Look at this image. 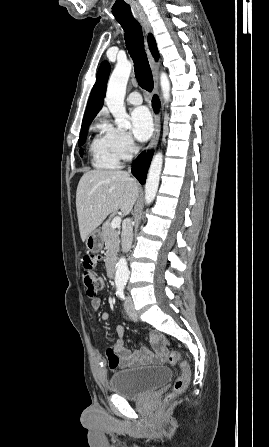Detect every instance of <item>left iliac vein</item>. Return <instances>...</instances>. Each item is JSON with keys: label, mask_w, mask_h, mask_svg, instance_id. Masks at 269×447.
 <instances>
[{"label": "left iliac vein", "mask_w": 269, "mask_h": 447, "mask_svg": "<svg viewBox=\"0 0 269 447\" xmlns=\"http://www.w3.org/2000/svg\"><path fill=\"white\" fill-rule=\"evenodd\" d=\"M125 311H126V313L129 315V317H130L131 319L137 321L138 318H137V316H136V314H135V308H134V306H133V303H132V299H131V298H127V299L125 300Z\"/></svg>", "instance_id": "obj_1"}]
</instances>
